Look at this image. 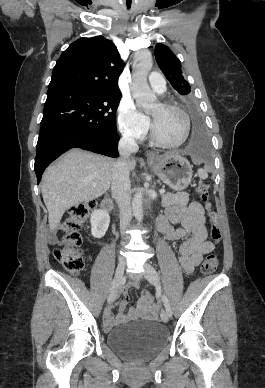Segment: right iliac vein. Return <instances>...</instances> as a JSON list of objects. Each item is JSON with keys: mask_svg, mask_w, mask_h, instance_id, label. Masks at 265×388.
<instances>
[{"mask_svg": "<svg viewBox=\"0 0 265 388\" xmlns=\"http://www.w3.org/2000/svg\"><path fill=\"white\" fill-rule=\"evenodd\" d=\"M124 270H125V261L121 259L119 260V263L117 265L116 272H115L116 286L119 285V282L121 281L122 276L124 274ZM115 298H116V289H113L112 291H110V294L108 295L107 302L110 304L115 300Z\"/></svg>", "mask_w": 265, "mask_h": 388, "instance_id": "right-iliac-vein-1", "label": "right iliac vein"}]
</instances>
